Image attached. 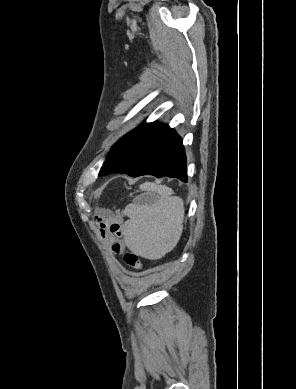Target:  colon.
Returning a JSON list of instances; mask_svg holds the SVG:
<instances>
[{"instance_id": "1", "label": "colon", "mask_w": 296, "mask_h": 389, "mask_svg": "<svg viewBox=\"0 0 296 389\" xmlns=\"http://www.w3.org/2000/svg\"><path fill=\"white\" fill-rule=\"evenodd\" d=\"M123 259H124V262L126 263V265H128L129 267H131L133 269L139 270L142 268V263L140 261V258L135 253L126 252L124 254Z\"/></svg>"}]
</instances>
